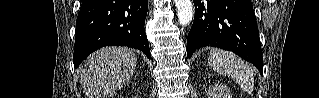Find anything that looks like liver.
Here are the masks:
<instances>
[{
  "label": "liver",
  "instance_id": "obj_1",
  "mask_svg": "<svg viewBox=\"0 0 319 98\" xmlns=\"http://www.w3.org/2000/svg\"><path fill=\"white\" fill-rule=\"evenodd\" d=\"M137 65L133 50L106 47L91 54L80 67V82L87 98H110L132 77Z\"/></svg>",
  "mask_w": 319,
  "mask_h": 98
}]
</instances>
